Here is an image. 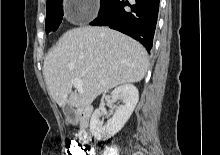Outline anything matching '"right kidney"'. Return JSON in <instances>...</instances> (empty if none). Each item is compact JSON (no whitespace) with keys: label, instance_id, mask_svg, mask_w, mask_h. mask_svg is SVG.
Masks as SVG:
<instances>
[{"label":"right kidney","instance_id":"1","mask_svg":"<svg viewBox=\"0 0 220 155\" xmlns=\"http://www.w3.org/2000/svg\"><path fill=\"white\" fill-rule=\"evenodd\" d=\"M112 102L123 101V105L116 108L113 117L105 125L100 121L101 113L96 109L90 120V132L97 139H108L118 133L132 115L139 100L138 89L132 84H125L115 88Z\"/></svg>","mask_w":220,"mask_h":155}]
</instances>
